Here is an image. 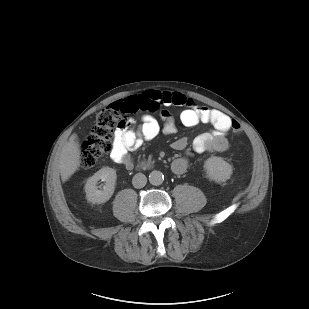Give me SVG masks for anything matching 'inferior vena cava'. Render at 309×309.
<instances>
[{"label":"inferior vena cava","instance_id":"obj_1","mask_svg":"<svg viewBox=\"0 0 309 309\" xmlns=\"http://www.w3.org/2000/svg\"><path fill=\"white\" fill-rule=\"evenodd\" d=\"M147 183V178L142 173H137L132 179V184L135 188H143Z\"/></svg>","mask_w":309,"mask_h":309}]
</instances>
